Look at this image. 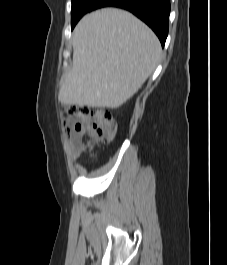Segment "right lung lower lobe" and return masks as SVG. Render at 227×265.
<instances>
[{"label":"right lung lower lobe","mask_w":227,"mask_h":265,"mask_svg":"<svg viewBox=\"0 0 227 265\" xmlns=\"http://www.w3.org/2000/svg\"><path fill=\"white\" fill-rule=\"evenodd\" d=\"M117 7L130 11L144 21L164 46L168 35L170 0H98L92 10Z\"/></svg>","instance_id":"obj_1"}]
</instances>
